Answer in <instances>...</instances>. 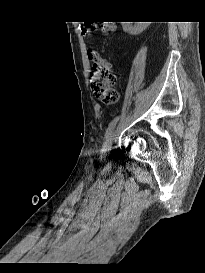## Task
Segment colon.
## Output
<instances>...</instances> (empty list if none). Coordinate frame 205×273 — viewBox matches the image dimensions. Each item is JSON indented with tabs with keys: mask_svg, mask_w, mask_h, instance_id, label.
Listing matches in <instances>:
<instances>
[{
	"mask_svg": "<svg viewBox=\"0 0 205 273\" xmlns=\"http://www.w3.org/2000/svg\"><path fill=\"white\" fill-rule=\"evenodd\" d=\"M114 27V21L105 20L101 23L104 32H110ZM93 28L90 25L84 26V31L89 32ZM89 59L92 63L90 72V89L93 96L105 104H112L118 98L115 89L116 77L110 69L109 62L96 50H89Z\"/></svg>",
	"mask_w": 205,
	"mask_h": 273,
	"instance_id": "1",
	"label": "colon"
}]
</instances>
